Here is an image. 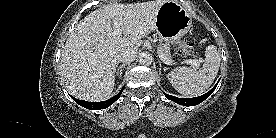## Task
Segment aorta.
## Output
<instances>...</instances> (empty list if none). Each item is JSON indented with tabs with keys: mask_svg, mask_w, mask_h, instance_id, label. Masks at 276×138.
I'll use <instances>...</instances> for the list:
<instances>
[{
	"mask_svg": "<svg viewBox=\"0 0 276 138\" xmlns=\"http://www.w3.org/2000/svg\"><path fill=\"white\" fill-rule=\"evenodd\" d=\"M139 63L148 66L152 63V55L149 52H143L139 56Z\"/></svg>",
	"mask_w": 276,
	"mask_h": 138,
	"instance_id": "aorta-1",
	"label": "aorta"
}]
</instances>
